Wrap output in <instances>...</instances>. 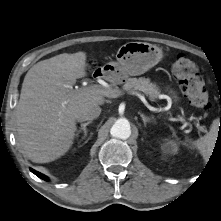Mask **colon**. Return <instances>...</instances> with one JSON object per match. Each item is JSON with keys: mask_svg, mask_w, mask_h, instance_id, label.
<instances>
[{"mask_svg": "<svg viewBox=\"0 0 221 221\" xmlns=\"http://www.w3.org/2000/svg\"><path fill=\"white\" fill-rule=\"evenodd\" d=\"M173 74L190 103L200 109L209 107L208 93L197 65L189 57L180 54L173 63Z\"/></svg>", "mask_w": 221, "mask_h": 221, "instance_id": "obj_1", "label": "colon"}]
</instances>
